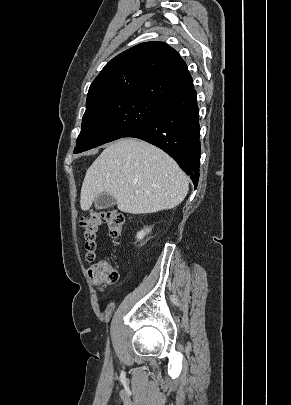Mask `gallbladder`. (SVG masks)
I'll return each mask as SVG.
<instances>
[{
  "mask_svg": "<svg viewBox=\"0 0 291 405\" xmlns=\"http://www.w3.org/2000/svg\"><path fill=\"white\" fill-rule=\"evenodd\" d=\"M94 204L97 209H106L116 205V199L109 194L102 193L95 197Z\"/></svg>",
  "mask_w": 291,
  "mask_h": 405,
  "instance_id": "obj_1",
  "label": "gallbladder"
}]
</instances>
